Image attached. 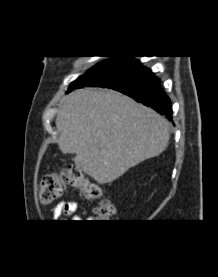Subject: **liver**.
<instances>
[{"instance_id":"6515ba94","label":"liver","mask_w":218,"mask_h":277,"mask_svg":"<svg viewBox=\"0 0 218 277\" xmlns=\"http://www.w3.org/2000/svg\"><path fill=\"white\" fill-rule=\"evenodd\" d=\"M58 146L99 184L112 182L167 147L169 123L154 110L113 90L83 88L62 98Z\"/></svg>"}]
</instances>
